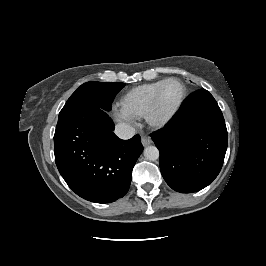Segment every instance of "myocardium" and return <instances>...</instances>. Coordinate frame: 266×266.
<instances>
[{
  "label": "myocardium",
  "mask_w": 266,
  "mask_h": 266,
  "mask_svg": "<svg viewBox=\"0 0 266 266\" xmlns=\"http://www.w3.org/2000/svg\"><path fill=\"white\" fill-rule=\"evenodd\" d=\"M170 82H177L180 85L181 96H180V99H179L177 105L175 106V108L165 118L158 119L156 117L158 99H159V96H160L163 88ZM186 97H187V88L181 79H179L177 77H170V78L165 79L163 81V83L158 87L156 92L154 93L152 100H151V102H150V104H149V106L145 112L144 117H145L147 123L155 129H160V128L167 126L175 118L177 113L180 111Z\"/></svg>",
  "instance_id": "myocardium-1"
}]
</instances>
